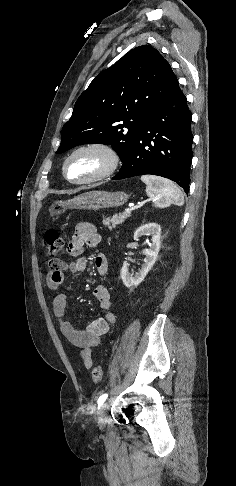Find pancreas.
<instances>
[{"label":"pancreas","instance_id":"1","mask_svg":"<svg viewBox=\"0 0 236 486\" xmlns=\"http://www.w3.org/2000/svg\"><path fill=\"white\" fill-rule=\"evenodd\" d=\"M130 217V213H120L115 214L111 218H107L103 220V225L107 226L110 230L115 228L117 225L122 224L126 218Z\"/></svg>","mask_w":236,"mask_h":486}]
</instances>
